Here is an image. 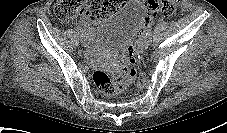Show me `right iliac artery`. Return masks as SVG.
Returning <instances> with one entry per match:
<instances>
[{
	"label": "right iliac artery",
	"mask_w": 227,
	"mask_h": 133,
	"mask_svg": "<svg viewBox=\"0 0 227 133\" xmlns=\"http://www.w3.org/2000/svg\"><path fill=\"white\" fill-rule=\"evenodd\" d=\"M78 34L80 35V37H82L84 35V31L81 28H77Z\"/></svg>",
	"instance_id": "obj_1"
}]
</instances>
